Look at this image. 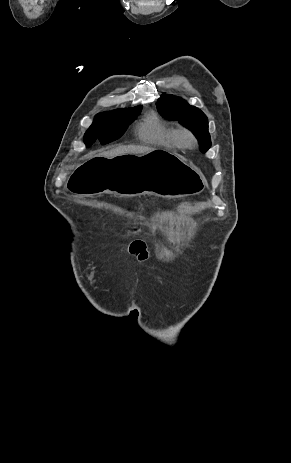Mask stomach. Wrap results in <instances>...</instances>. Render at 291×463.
Listing matches in <instances>:
<instances>
[{
	"mask_svg": "<svg viewBox=\"0 0 291 463\" xmlns=\"http://www.w3.org/2000/svg\"><path fill=\"white\" fill-rule=\"evenodd\" d=\"M205 185L196 166L178 154L156 149L145 154L93 157L71 175L66 187L83 196L110 192L121 197L153 194L180 198L201 193Z\"/></svg>",
	"mask_w": 291,
	"mask_h": 463,
	"instance_id": "obj_1",
	"label": "stomach"
}]
</instances>
